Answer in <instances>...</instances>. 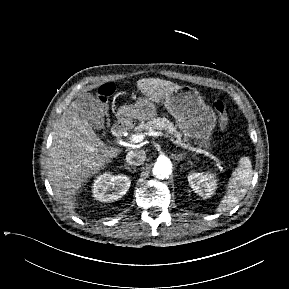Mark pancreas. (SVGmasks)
Wrapping results in <instances>:
<instances>
[{"mask_svg":"<svg viewBox=\"0 0 289 289\" xmlns=\"http://www.w3.org/2000/svg\"><path fill=\"white\" fill-rule=\"evenodd\" d=\"M154 130H165L168 134L173 135L177 138V141L181 142V133L177 131L176 126L172 122H170L167 118L163 117H157L152 118L148 122L140 123L136 128L135 131L141 132V131H154Z\"/></svg>","mask_w":289,"mask_h":289,"instance_id":"cf45deb5","label":"pancreas"}]
</instances>
